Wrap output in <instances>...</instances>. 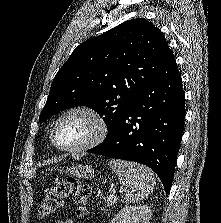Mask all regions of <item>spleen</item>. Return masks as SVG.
I'll use <instances>...</instances> for the list:
<instances>
[{"instance_id":"3e777b00","label":"spleen","mask_w":221,"mask_h":223,"mask_svg":"<svg viewBox=\"0 0 221 223\" xmlns=\"http://www.w3.org/2000/svg\"><path fill=\"white\" fill-rule=\"evenodd\" d=\"M109 166L117 175L127 203H137L153 192L155 179L143 165L123 160H110Z\"/></svg>"}]
</instances>
